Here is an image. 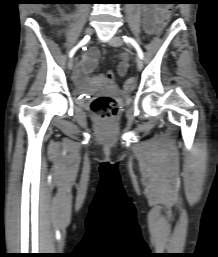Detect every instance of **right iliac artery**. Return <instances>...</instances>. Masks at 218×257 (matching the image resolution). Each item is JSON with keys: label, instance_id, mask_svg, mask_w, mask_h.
Wrapping results in <instances>:
<instances>
[{"label": "right iliac artery", "instance_id": "right-iliac-artery-1", "mask_svg": "<svg viewBox=\"0 0 218 257\" xmlns=\"http://www.w3.org/2000/svg\"><path fill=\"white\" fill-rule=\"evenodd\" d=\"M90 37L89 36H85L77 46H75L69 53L70 58L73 57V55L75 54L76 50L81 47L82 45L86 44L89 41Z\"/></svg>", "mask_w": 218, "mask_h": 257}]
</instances>
